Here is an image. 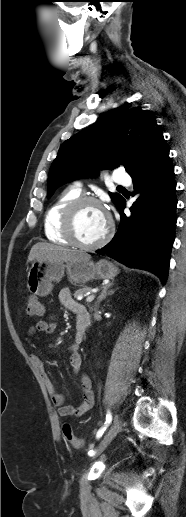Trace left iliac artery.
<instances>
[{"instance_id": "1", "label": "left iliac artery", "mask_w": 186, "mask_h": 517, "mask_svg": "<svg viewBox=\"0 0 186 517\" xmlns=\"http://www.w3.org/2000/svg\"><path fill=\"white\" fill-rule=\"evenodd\" d=\"M111 421H112V414H111V412L108 410V411H107V414H106V421H105V425H104V427H102L101 429H99V431L97 432V435H96L97 439H99V438L103 435L104 431L106 430V427L111 423ZM94 454H95V451H94V450H89V452H88V455H89V456H93Z\"/></svg>"}]
</instances>
